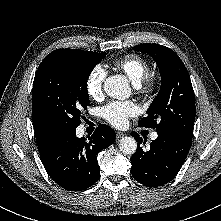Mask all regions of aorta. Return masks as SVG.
<instances>
[{"instance_id":"obj_1","label":"aorta","mask_w":221,"mask_h":221,"mask_svg":"<svg viewBox=\"0 0 221 221\" xmlns=\"http://www.w3.org/2000/svg\"><path fill=\"white\" fill-rule=\"evenodd\" d=\"M104 91L112 98L119 100L127 99L131 95L128 80L123 75L109 76L104 82ZM120 151L132 155L137 149V142L133 137L125 136L119 141Z\"/></svg>"}]
</instances>
